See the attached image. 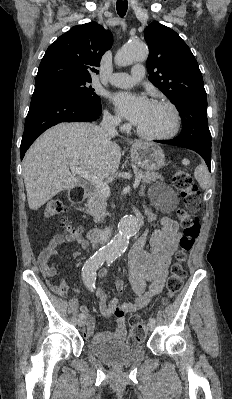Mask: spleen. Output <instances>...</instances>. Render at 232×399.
I'll return each mask as SVG.
<instances>
[{
    "label": "spleen",
    "instance_id": "obj_1",
    "mask_svg": "<svg viewBox=\"0 0 232 399\" xmlns=\"http://www.w3.org/2000/svg\"><path fill=\"white\" fill-rule=\"evenodd\" d=\"M194 176L200 188H202V190H206L210 180L207 166H197Z\"/></svg>",
    "mask_w": 232,
    "mask_h": 399
}]
</instances>
